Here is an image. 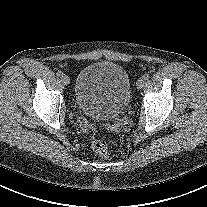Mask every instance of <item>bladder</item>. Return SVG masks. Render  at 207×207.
Segmentation results:
<instances>
[{"instance_id":"31cf9c89","label":"bladder","mask_w":207,"mask_h":207,"mask_svg":"<svg viewBox=\"0 0 207 207\" xmlns=\"http://www.w3.org/2000/svg\"><path fill=\"white\" fill-rule=\"evenodd\" d=\"M130 95L128 73L114 62L90 63L77 75L74 101L90 117L108 119L120 115L127 109Z\"/></svg>"}]
</instances>
